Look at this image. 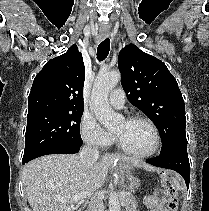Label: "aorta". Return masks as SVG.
Returning a JSON list of instances; mask_svg holds the SVG:
<instances>
[{
  "label": "aorta",
  "mask_w": 209,
  "mask_h": 211,
  "mask_svg": "<svg viewBox=\"0 0 209 211\" xmlns=\"http://www.w3.org/2000/svg\"><path fill=\"white\" fill-rule=\"evenodd\" d=\"M120 80L121 75L118 71L100 72L92 88L90 108L98 121L108 130L115 128L122 118L112 110L108 102L110 91ZM109 211H120V200L116 193L110 194Z\"/></svg>",
  "instance_id": "aorta-1"
}]
</instances>
